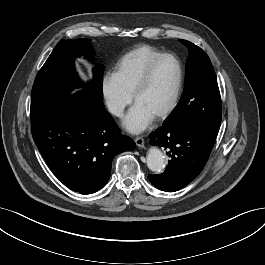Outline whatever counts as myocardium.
Here are the masks:
<instances>
[{"mask_svg":"<svg viewBox=\"0 0 265 265\" xmlns=\"http://www.w3.org/2000/svg\"><path fill=\"white\" fill-rule=\"evenodd\" d=\"M165 58H171L175 61L177 66L178 76H177V83L173 97L170 103L154 117L157 120L163 119L168 115H170L179 103L183 89V81H184V71L179 58L172 53H161L160 55L156 56L147 64V66L143 70L131 94L132 102H135L136 97L146 88L147 84L149 83V80L152 76V73L156 65Z\"/></svg>","mask_w":265,"mask_h":265,"instance_id":"myocardium-1","label":"myocardium"}]
</instances>
